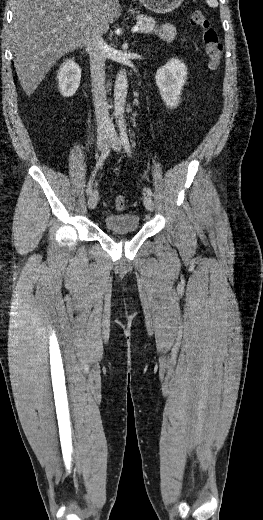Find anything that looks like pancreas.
I'll use <instances>...</instances> for the list:
<instances>
[{
    "mask_svg": "<svg viewBox=\"0 0 263 520\" xmlns=\"http://www.w3.org/2000/svg\"><path fill=\"white\" fill-rule=\"evenodd\" d=\"M136 20L141 22L138 24L140 32L151 33L157 29V22L151 16L139 14L136 17Z\"/></svg>",
    "mask_w": 263,
    "mask_h": 520,
    "instance_id": "pancreas-1",
    "label": "pancreas"
}]
</instances>
